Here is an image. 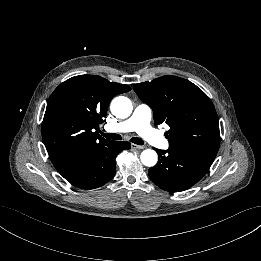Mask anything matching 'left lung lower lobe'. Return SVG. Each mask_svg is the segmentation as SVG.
Listing matches in <instances>:
<instances>
[{
    "instance_id": "left-lung-lower-lobe-1",
    "label": "left lung lower lobe",
    "mask_w": 261,
    "mask_h": 261,
    "mask_svg": "<svg viewBox=\"0 0 261 261\" xmlns=\"http://www.w3.org/2000/svg\"><path fill=\"white\" fill-rule=\"evenodd\" d=\"M155 150L159 160L148 170V174L157 186L169 192H180L192 187L206 174L214 160L199 153Z\"/></svg>"
}]
</instances>
